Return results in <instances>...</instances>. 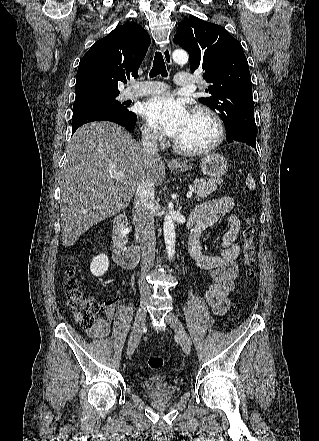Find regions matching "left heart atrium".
I'll return each mask as SVG.
<instances>
[{
	"mask_svg": "<svg viewBox=\"0 0 319 441\" xmlns=\"http://www.w3.org/2000/svg\"><path fill=\"white\" fill-rule=\"evenodd\" d=\"M141 113L154 128L173 139L179 136L191 115L185 103L171 95L147 99Z\"/></svg>",
	"mask_w": 319,
	"mask_h": 441,
	"instance_id": "obj_1",
	"label": "left heart atrium"
}]
</instances>
